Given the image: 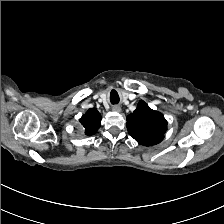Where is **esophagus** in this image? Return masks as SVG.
I'll return each instance as SVG.
<instances>
[{"label": "esophagus", "instance_id": "obj_1", "mask_svg": "<svg viewBox=\"0 0 224 224\" xmlns=\"http://www.w3.org/2000/svg\"><path fill=\"white\" fill-rule=\"evenodd\" d=\"M112 111H115V112H120L121 111V107L119 105H114L112 107Z\"/></svg>", "mask_w": 224, "mask_h": 224}]
</instances>
